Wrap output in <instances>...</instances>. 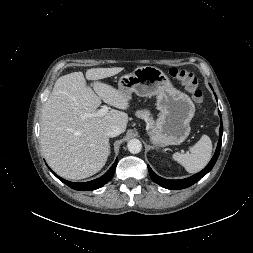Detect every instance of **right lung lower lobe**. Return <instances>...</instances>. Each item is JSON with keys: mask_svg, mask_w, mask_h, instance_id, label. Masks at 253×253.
Instances as JSON below:
<instances>
[{"mask_svg": "<svg viewBox=\"0 0 253 253\" xmlns=\"http://www.w3.org/2000/svg\"><path fill=\"white\" fill-rule=\"evenodd\" d=\"M116 166H117V160L114 162V164L111 166V168L102 177L97 178V179L92 180V181H89V182H84V183L70 182V181H67L65 179L60 178L55 173H54V175L58 179H60L63 183H65L66 185H68L69 187H71L75 190L91 191V190H96V189L102 187L107 182H109L111 180V178L113 177Z\"/></svg>", "mask_w": 253, "mask_h": 253, "instance_id": "right-lung-lower-lobe-1", "label": "right lung lower lobe"}]
</instances>
